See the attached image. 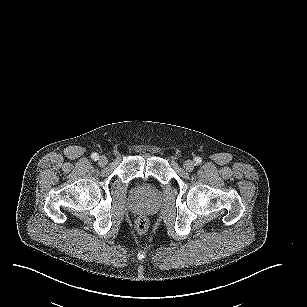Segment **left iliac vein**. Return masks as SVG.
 <instances>
[{
  "label": "left iliac vein",
  "mask_w": 307,
  "mask_h": 307,
  "mask_svg": "<svg viewBox=\"0 0 307 307\" xmlns=\"http://www.w3.org/2000/svg\"><path fill=\"white\" fill-rule=\"evenodd\" d=\"M194 166L195 164L192 160H186L184 162V168L186 171H189V172L192 171L194 169Z\"/></svg>",
  "instance_id": "4c4485c4"
}]
</instances>
